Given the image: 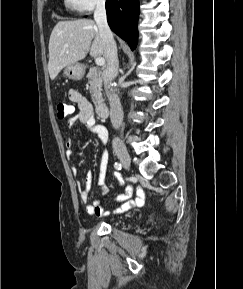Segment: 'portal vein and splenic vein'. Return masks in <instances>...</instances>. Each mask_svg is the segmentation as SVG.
<instances>
[{"label":"portal vein and splenic vein","mask_w":243,"mask_h":289,"mask_svg":"<svg viewBox=\"0 0 243 289\" xmlns=\"http://www.w3.org/2000/svg\"><path fill=\"white\" fill-rule=\"evenodd\" d=\"M66 46H68V45H66ZM95 63H96V65H98V66H103V65L105 64V59L102 58V57H97V58L95 59Z\"/></svg>","instance_id":"1"}]
</instances>
